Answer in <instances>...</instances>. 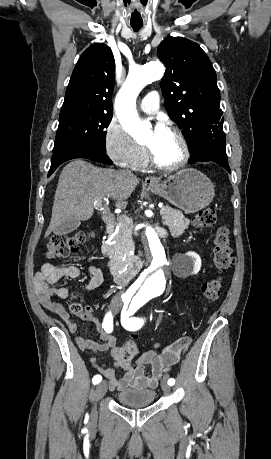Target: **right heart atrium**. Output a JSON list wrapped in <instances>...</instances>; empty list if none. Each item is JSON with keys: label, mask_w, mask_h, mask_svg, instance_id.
I'll use <instances>...</instances> for the list:
<instances>
[{"label": "right heart atrium", "mask_w": 271, "mask_h": 459, "mask_svg": "<svg viewBox=\"0 0 271 459\" xmlns=\"http://www.w3.org/2000/svg\"><path fill=\"white\" fill-rule=\"evenodd\" d=\"M104 149L117 165L134 166L147 156L145 146L134 141L128 131L111 121L104 131Z\"/></svg>", "instance_id": "right-heart-atrium-1"}]
</instances>
